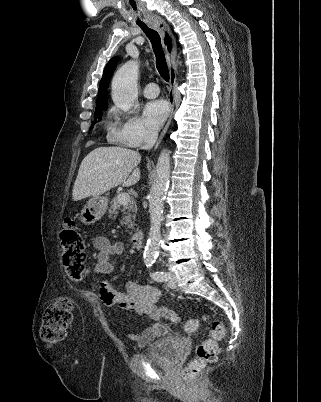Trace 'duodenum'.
<instances>
[{
  "mask_svg": "<svg viewBox=\"0 0 321 402\" xmlns=\"http://www.w3.org/2000/svg\"><path fill=\"white\" fill-rule=\"evenodd\" d=\"M144 235L141 231H136L130 236V244L134 249H141L143 246Z\"/></svg>",
  "mask_w": 321,
  "mask_h": 402,
  "instance_id": "duodenum-1",
  "label": "duodenum"
}]
</instances>
